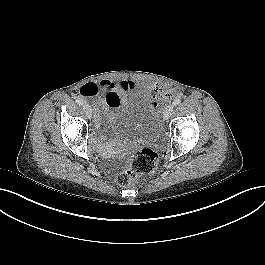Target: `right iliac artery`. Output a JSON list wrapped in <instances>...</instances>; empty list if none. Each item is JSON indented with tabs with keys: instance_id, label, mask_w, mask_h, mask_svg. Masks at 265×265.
I'll return each mask as SVG.
<instances>
[{
	"instance_id": "right-iliac-artery-1",
	"label": "right iliac artery",
	"mask_w": 265,
	"mask_h": 265,
	"mask_svg": "<svg viewBox=\"0 0 265 265\" xmlns=\"http://www.w3.org/2000/svg\"><path fill=\"white\" fill-rule=\"evenodd\" d=\"M76 102H77V104H79V105H83L85 102H84V100L83 99H81V98H77L76 99Z\"/></svg>"
}]
</instances>
